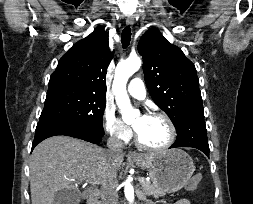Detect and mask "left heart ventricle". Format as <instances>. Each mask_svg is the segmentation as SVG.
I'll use <instances>...</instances> for the list:
<instances>
[{"instance_id":"1","label":"left heart ventricle","mask_w":253,"mask_h":204,"mask_svg":"<svg viewBox=\"0 0 253 204\" xmlns=\"http://www.w3.org/2000/svg\"><path fill=\"white\" fill-rule=\"evenodd\" d=\"M133 125L142 141L147 145L161 146L169 139V128L161 118L138 116Z\"/></svg>"}]
</instances>
